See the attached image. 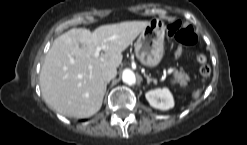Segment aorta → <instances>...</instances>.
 Wrapping results in <instances>:
<instances>
[{
  "label": "aorta",
  "mask_w": 247,
  "mask_h": 145,
  "mask_svg": "<svg viewBox=\"0 0 247 145\" xmlns=\"http://www.w3.org/2000/svg\"><path fill=\"white\" fill-rule=\"evenodd\" d=\"M122 80L124 83L128 85H133L136 82L135 74L130 69H125L122 74Z\"/></svg>",
  "instance_id": "1"
}]
</instances>
